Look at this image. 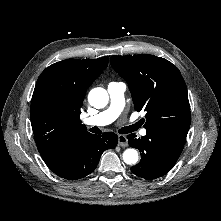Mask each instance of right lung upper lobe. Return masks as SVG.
<instances>
[{
  "mask_svg": "<svg viewBox=\"0 0 221 221\" xmlns=\"http://www.w3.org/2000/svg\"><path fill=\"white\" fill-rule=\"evenodd\" d=\"M108 65V57L66 59L46 68L37 80L31 100L30 117L37 149L50 161L83 136L90 134L81 124L80 114L86 90ZM64 96L62 106H52L46 90Z\"/></svg>",
  "mask_w": 221,
  "mask_h": 221,
  "instance_id": "1",
  "label": "right lung upper lobe"
}]
</instances>
